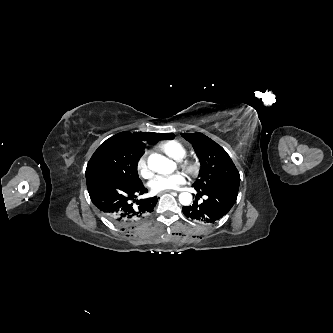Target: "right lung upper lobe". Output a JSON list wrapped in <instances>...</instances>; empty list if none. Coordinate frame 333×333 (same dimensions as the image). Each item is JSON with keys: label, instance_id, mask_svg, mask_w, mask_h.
<instances>
[{"label": "right lung upper lobe", "instance_id": "right-lung-upper-lobe-1", "mask_svg": "<svg viewBox=\"0 0 333 333\" xmlns=\"http://www.w3.org/2000/svg\"><path fill=\"white\" fill-rule=\"evenodd\" d=\"M157 134L158 133L151 132H121L119 133V136L122 137L124 141L128 144L132 156L140 158L144 154L143 148L145 147L146 143L155 144L158 139H160Z\"/></svg>", "mask_w": 333, "mask_h": 333}]
</instances>
